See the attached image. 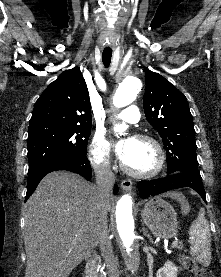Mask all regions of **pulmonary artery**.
Masks as SVG:
<instances>
[{"label":"pulmonary artery","instance_id":"pulmonary-artery-1","mask_svg":"<svg viewBox=\"0 0 221 277\" xmlns=\"http://www.w3.org/2000/svg\"><path fill=\"white\" fill-rule=\"evenodd\" d=\"M115 118L128 123H137L140 120V111L137 106L130 105L116 114Z\"/></svg>","mask_w":221,"mask_h":277}]
</instances>
